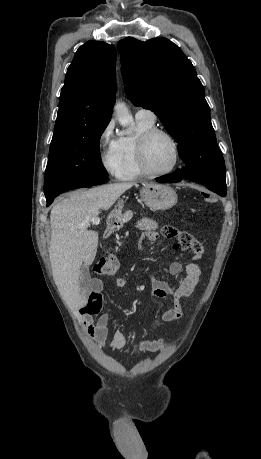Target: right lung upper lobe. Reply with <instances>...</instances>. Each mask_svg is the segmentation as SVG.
<instances>
[{
  "mask_svg": "<svg viewBox=\"0 0 261 459\" xmlns=\"http://www.w3.org/2000/svg\"><path fill=\"white\" fill-rule=\"evenodd\" d=\"M116 49L89 41L76 52L61 89L53 137L109 122L116 97Z\"/></svg>",
  "mask_w": 261,
  "mask_h": 459,
  "instance_id": "cb5924a9",
  "label": "right lung upper lobe"
}]
</instances>
